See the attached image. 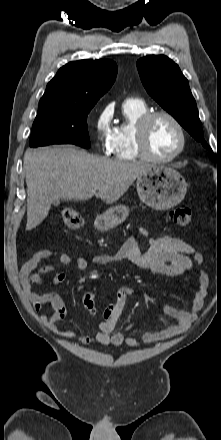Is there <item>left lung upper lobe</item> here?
Listing matches in <instances>:
<instances>
[{
  "mask_svg": "<svg viewBox=\"0 0 221 440\" xmlns=\"http://www.w3.org/2000/svg\"><path fill=\"white\" fill-rule=\"evenodd\" d=\"M137 68L148 94L212 152L203 138L202 125L188 80L178 65L164 55H149L137 61Z\"/></svg>",
  "mask_w": 221,
  "mask_h": 440,
  "instance_id": "obj_1",
  "label": "left lung upper lobe"
}]
</instances>
